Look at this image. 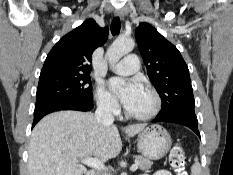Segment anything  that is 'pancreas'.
Returning a JSON list of instances; mask_svg holds the SVG:
<instances>
[{
    "instance_id": "pancreas-1",
    "label": "pancreas",
    "mask_w": 233,
    "mask_h": 175,
    "mask_svg": "<svg viewBox=\"0 0 233 175\" xmlns=\"http://www.w3.org/2000/svg\"><path fill=\"white\" fill-rule=\"evenodd\" d=\"M135 161L138 163V167L141 170H148L153 165V162L150 159L140 155L135 156Z\"/></svg>"
}]
</instances>
